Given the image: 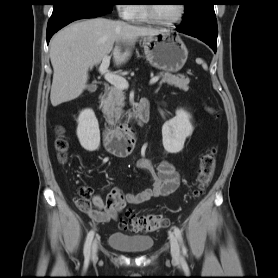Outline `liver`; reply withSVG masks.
<instances>
[{
	"instance_id": "obj_1",
	"label": "liver",
	"mask_w": 278,
	"mask_h": 278,
	"mask_svg": "<svg viewBox=\"0 0 278 278\" xmlns=\"http://www.w3.org/2000/svg\"><path fill=\"white\" fill-rule=\"evenodd\" d=\"M161 32L105 18L87 19L65 27L50 42L54 71L51 104L56 107L78 98L87 87L89 68L99 64L105 55L112 53L115 65L119 66L131 55V47L139 37ZM121 44L128 49L122 52Z\"/></svg>"
}]
</instances>
